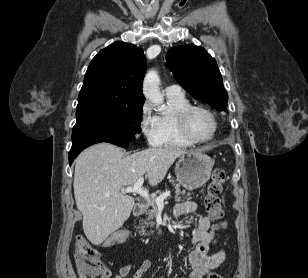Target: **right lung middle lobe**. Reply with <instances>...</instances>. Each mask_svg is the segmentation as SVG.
Masks as SVG:
<instances>
[{
  "mask_svg": "<svg viewBox=\"0 0 308 278\" xmlns=\"http://www.w3.org/2000/svg\"><path fill=\"white\" fill-rule=\"evenodd\" d=\"M142 106L76 115L72 144L81 142L128 143L141 132Z\"/></svg>",
  "mask_w": 308,
  "mask_h": 278,
  "instance_id": "right-lung-middle-lobe-1",
  "label": "right lung middle lobe"
}]
</instances>
